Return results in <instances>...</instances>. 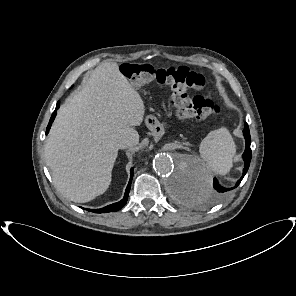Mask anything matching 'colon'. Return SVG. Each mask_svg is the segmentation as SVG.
I'll return each instance as SVG.
<instances>
[{"label":"colon","instance_id":"1","mask_svg":"<svg viewBox=\"0 0 296 296\" xmlns=\"http://www.w3.org/2000/svg\"><path fill=\"white\" fill-rule=\"evenodd\" d=\"M123 75L135 87L152 82L168 85L172 90V102L179 118L210 119L220 114L219 104L206 96L190 97V89L200 90L205 86L203 75L185 66L155 68L149 64L130 63L121 68Z\"/></svg>","mask_w":296,"mask_h":296}]
</instances>
